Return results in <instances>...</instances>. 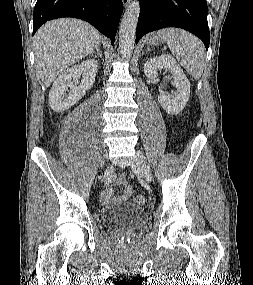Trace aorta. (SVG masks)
<instances>
[{
  "label": "aorta",
  "mask_w": 253,
  "mask_h": 285,
  "mask_svg": "<svg viewBox=\"0 0 253 285\" xmlns=\"http://www.w3.org/2000/svg\"><path fill=\"white\" fill-rule=\"evenodd\" d=\"M140 15L139 1L129 3L119 29V48L124 57H130L133 53L135 44L136 26Z\"/></svg>",
  "instance_id": "aorta-1"
}]
</instances>
